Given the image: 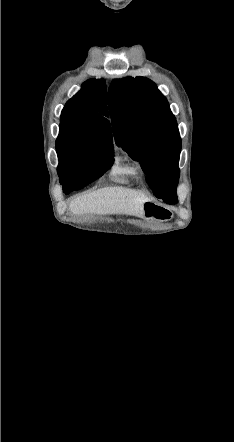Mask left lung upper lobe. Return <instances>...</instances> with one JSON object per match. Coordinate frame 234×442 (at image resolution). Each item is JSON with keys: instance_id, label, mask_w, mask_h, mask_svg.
<instances>
[{"instance_id": "1", "label": "left lung upper lobe", "mask_w": 234, "mask_h": 442, "mask_svg": "<svg viewBox=\"0 0 234 442\" xmlns=\"http://www.w3.org/2000/svg\"><path fill=\"white\" fill-rule=\"evenodd\" d=\"M108 106L117 145L140 162L157 198L177 202L181 138L166 98L151 80L127 77L112 82Z\"/></svg>"}]
</instances>
